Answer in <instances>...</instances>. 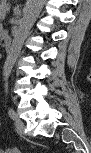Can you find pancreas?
<instances>
[{"label": "pancreas", "instance_id": "obj_1", "mask_svg": "<svg viewBox=\"0 0 91 153\" xmlns=\"http://www.w3.org/2000/svg\"><path fill=\"white\" fill-rule=\"evenodd\" d=\"M9 10V6L8 5H3L1 7V16L3 17V14Z\"/></svg>", "mask_w": 91, "mask_h": 153}]
</instances>
